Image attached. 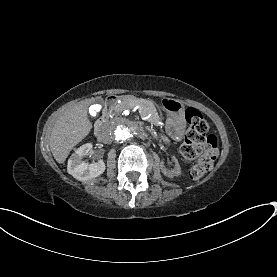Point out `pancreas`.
<instances>
[{"label": "pancreas", "mask_w": 277, "mask_h": 277, "mask_svg": "<svg viewBox=\"0 0 277 277\" xmlns=\"http://www.w3.org/2000/svg\"><path fill=\"white\" fill-rule=\"evenodd\" d=\"M126 109L134 110L140 116L144 117L145 122L150 125L157 124L159 122L160 116L157 111H154V106L151 101H142L140 98L128 95L124 98L118 96L114 101L107 104L105 110L112 117H115L119 112H123Z\"/></svg>", "instance_id": "obj_1"}]
</instances>
